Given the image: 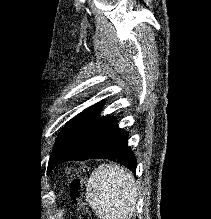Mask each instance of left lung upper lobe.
Returning <instances> with one entry per match:
<instances>
[{"label": "left lung upper lobe", "instance_id": "left-lung-upper-lobe-1", "mask_svg": "<svg viewBox=\"0 0 211 219\" xmlns=\"http://www.w3.org/2000/svg\"><path fill=\"white\" fill-rule=\"evenodd\" d=\"M91 107L87 108L86 110H84L83 112H81L80 114H78L76 117H74L72 120H70L67 125L65 126V128L62 130V132L60 133V135L57 137L56 142H55V146L53 149V152L55 151V149L57 148V146L60 144V142L62 141V139L64 138V136L66 135V133L69 131V129L76 123V121L85 114L86 111H88ZM52 152V153H53ZM52 155V154H51Z\"/></svg>", "mask_w": 211, "mask_h": 219}]
</instances>
